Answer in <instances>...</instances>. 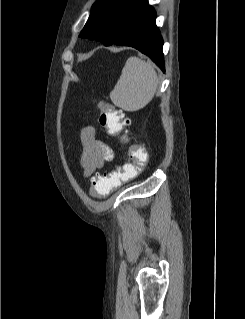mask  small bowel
<instances>
[{"mask_svg":"<svg viewBox=\"0 0 245 319\" xmlns=\"http://www.w3.org/2000/svg\"><path fill=\"white\" fill-rule=\"evenodd\" d=\"M81 165L86 176H90L101 169L107 162L113 160L111 147L99 139L95 126H85L81 131Z\"/></svg>","mask_w":245,"mask_h":319,"instance_id":"obj_1","label":"small bowel"}]
</instances>
